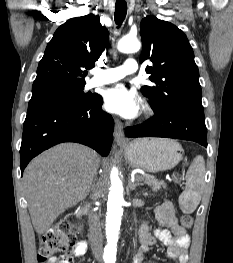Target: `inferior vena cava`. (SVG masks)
I'll list each match as a JSON object with an SVG mask.
<instances>
[{"label":"inferior vena cava","mask_w":233,"mask_h":263,"mask_svg":"<svg viewBox=\"0 0 233 263\" xmlns=\"http://www.w3.org/2000/svg\"><path fill=\"white\" fill-rule=\"evenodd\" d=\"M90 208V205H88ZM89 233L92 252L97 261L102 262L103 257V235L98 215L91 210L88 213Z\"/></svg>","instance_id":"obj_1"}]
</instances>
